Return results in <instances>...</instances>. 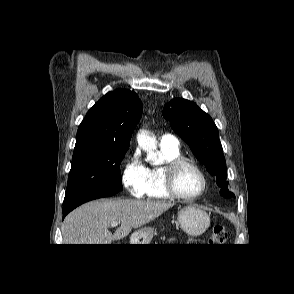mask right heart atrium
Instances as JSON below:
<instances>
[{
  "instance_id": "1",
  "label": "right heart atrium",
  "mask_w": 294,
  "mask_h": 294,
  "mask_svg": "<svg viewBox=\"0 0 294 294\" xmlns=\"http://www.w3.org/2000/svg\"><path fill=\"white\" fill-rule=\"evenodd\" d=\"M121 181L132 197L141 198L146 192V166L138 150H133L122 164Z\"/></svg>"
}]
</instances>
